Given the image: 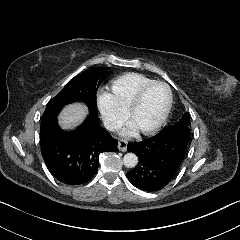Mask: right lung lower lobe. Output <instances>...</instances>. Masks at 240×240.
<instances>
[{"label":"right lung lower lobe","instance_id":"obj_1","mask_svg":"<svg viewBox=\"0 0 240 240\" xmlns=\"http://www.w3.org/2000/svg\"><path fill=\"white\" fill-rule=\"evenodd\" d=\"M41 153L52 173L67 185H80L91 180L99 167L103 152H116L118 141L99 127L97 114H89L82 126L73 132L62 130L57 118L40 127Z\"/></svg>","mask_w":240,"mask_h":240}]
</instances>
